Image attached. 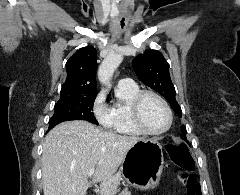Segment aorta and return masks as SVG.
<instances>
[{
	"label": "aorta",
	"instance_id": "762f6f07",
	"mask_svg": "<svg viewBox=\"0 0 240 195\" xmlns=\"http://www.w3.org/2000/svg\"><path fill=\"white\" fill-rule=\"evenodd\" d=\"M121 62H123V56H119V54H109L107 58H104L97 72L100 84H104V86H111L113 74L116 72Z\"/></svg>",
	"mask_w": 240,
	"mask_h": 195
}]
</instances>
